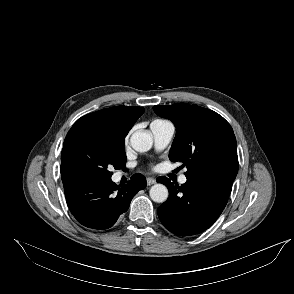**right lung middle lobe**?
<instances>
[{"label":"right lung middle lobe","instance_id":"obj_1","mask_svg":"<svg viewBox=\"0 0 294 294\" xmlns=\"http://www.w3.org/2000/svg\"><path fill=\"white\" fill-rule=\"evenodd\" d=\"M124 141L100 133H77L65 141L60 168L64 188L111 179L112 167H125Z\"/></svg>","mask_w":294,"mask_h":294}]
</instances>
